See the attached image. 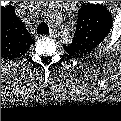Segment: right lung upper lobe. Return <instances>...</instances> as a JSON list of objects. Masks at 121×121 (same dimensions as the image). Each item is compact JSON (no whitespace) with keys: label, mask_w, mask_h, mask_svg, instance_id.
<instances>
[{"label":"right lung upper lobe","mask_w":121,"mask_h":121,"mask_svg":"<svg viewBox=\"0 0 121 121\" xmlns=\"http://www.w3.org/2000/svg\"><path fill=\"white\" fill-rule=\"evenodd\" d=\"M33 42L14 8L10 5L1 7V55L6 59L19 57L29 50Z\"/></svg>","instance_id":"right-lung-upper-lobe-1"}]
</instances>
